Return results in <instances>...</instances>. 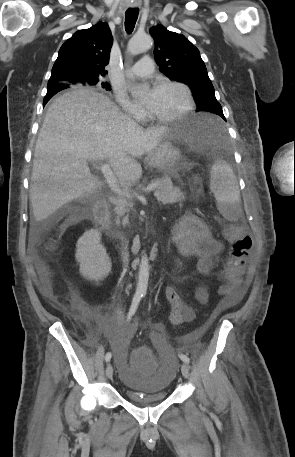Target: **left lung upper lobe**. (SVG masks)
<instances>
[{
	"mask_svg": "<svg viewBox=\"0 0 295 457\" xmlns=\"http://www.w3.org/2000/svg\"><path fill=\"white\" fill-rule=\"evenodd\" d=\"M155 41L154 54L160 71L169 79L184 83L191 89L198 111L220 110L214 87L208 77L199 50L184 36L157 25L150 29Z\"/></svg>",
	"mask_w": 295,
	"mask_h": 457,
	"instance_id": "left-lung-upper-lobe-1",
	"label": "left lung upper lobe"
}]
</instances>
